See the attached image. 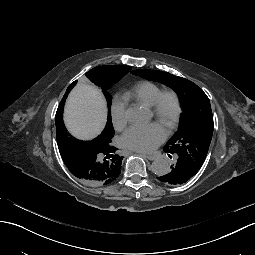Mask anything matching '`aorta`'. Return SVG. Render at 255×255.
<instances>
[{
  "mask_svg": "<svg viewBox=\"0 0 255 255\" xmlns=\"http://www.w3.org/2000/svg\"><path fill=\"white\" fill-rule=\"evenodd\" d=\"M126 115L131 122H141L146 118V112L139 106L128 108ZM151 170L155 175L162 176L169 172L170 166L167 160L159 158L152 162Z\"/></svg>",
  "mask_w": 255,
  "mask_h": 255,
  "instance_id": "1",
  "label": "aorta"
}]
</instances>
